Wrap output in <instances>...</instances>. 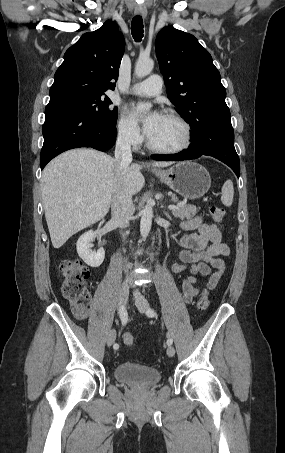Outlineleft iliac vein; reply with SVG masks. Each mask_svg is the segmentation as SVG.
<instances>
[{
	"mask_svg": "<svg viewBox=\"0 0 285 453\" xmlns=\"http://www.w3.org/2000/svg\"><path fill=\"white\" fill-rule=\"evenodd\" d=\"M134 299H135V304H136V307L138 308V310L141 313H145L149 307V303H148L147 299L138 290L134 291ZM167 355L169 357H173L175 355V349L173 346H171V345L168 346Z\"/></svg>",
	"mask_w": 285,
	"mask_h": 453,
	"instance_id": "4c4485c4",
	"label": "left iliac vein"
}]
</instances>
